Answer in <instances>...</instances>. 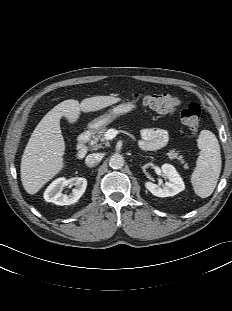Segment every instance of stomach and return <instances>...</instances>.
Masks as SVG:
<instances>
[{
    "instance_id": "1",
    "label": "stomach",
    "mask_w": 232,
    "mask_h": 311,
    "mask_svg": "<svg viewBox=\"0 0 232 311\" xmlns=\"http://www.w3.org/2000/svg\"><path fill=\"white\" fill-rule=\"evenodd\" d=\"M135 108V104L132 102H126L119 104L109 110L108 113L103 114L88 123V129L92 132H97L101 128L105 127L106 125L110 124L113 120L117 117L124 115Z\"/></svg>"
}]
</instances>
